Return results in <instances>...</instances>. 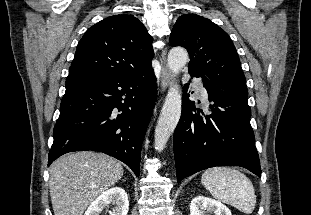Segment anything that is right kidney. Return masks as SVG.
I'll return each mask as SVG.
<instances>
[{
	"mask_svg": "<svg viewBox=\"0 0 311 215\" xmlns=\"http://www.w3.org/2000/svg\"><path fill=\"white\" fill-rule=\"evenodd\" d=\"M108 204L115 205L111 215H127L129 200L125 190L121 187H113L104 191L91 203L85 215H99Z\"/></svg>",
	"mask_w": 311,
	"mask_h": 215,
	"instance_id": "obj_1",
	"label": "right kidney"
}]
</instances>
